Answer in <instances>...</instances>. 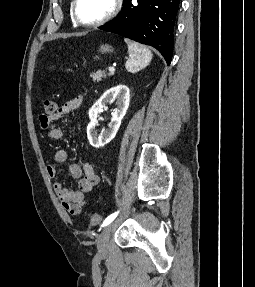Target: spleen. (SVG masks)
Segmentation results:
<instances>
[{
  "instance_id": "1",
  "label": "spleen",
  "mask_w": 255,
  "mask_h": 287,
  "mask_svg": "<svg viewBox=\"0 0 255 287\" xmlns=\"http://www.w3.org/2000/svg\"><path fill=\"white\" fill-rule=\"evenodd\" d=\"M125 44L128 46L129 60L125 64L126 70L129 72H137V70H142L150 64L152 60V52L148 50L147 46H142V44H137V42H131V40H124Z\"/></svg>"
}]
</instances>
